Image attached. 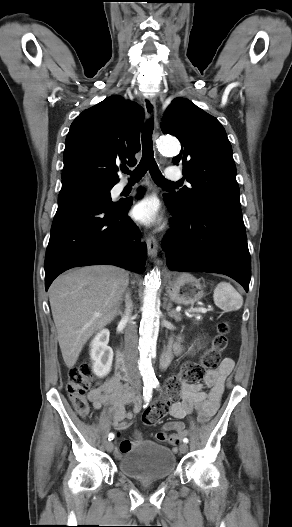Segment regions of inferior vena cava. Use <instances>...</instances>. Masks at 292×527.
<instances>
[{
    "mask_svg": "<svg viewBox=\"0 0 292 527\" xmlns=\"http://www.w3.org/2000/svg\"><path fill=\"white\" fill-rule=\"evenodd\" d=\"M126 297L128 301H126V310L122 317V320L126 323L125 336H124L125 357H126L128 371L133 380L134 386H140L141 377L137 369V361H138L137 327L134 324L132 317H131L132 303L129 300V295L127 294Z\"/></svg>",
    "mask_w": 292,
    "mask_h": 527,
    "instance_id": "inferior-vena-cava-1",
    "label": "inferior vena cava"
}]
</instances>
